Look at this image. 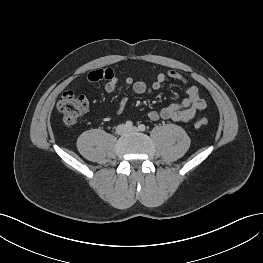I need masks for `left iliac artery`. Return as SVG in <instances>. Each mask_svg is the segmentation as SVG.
<instances>
[{
  "label": "left iliac artery",
  "instance_id": "left-iliac-artery-1",
  "mask_svg": "<svg viewBox=\"0 0 263 263\" xmlns=\"http://www.w3.org/2000/svg\"><path fill=\"white\" fill-rule=\"evenodd\" d=\"M138 129H139L140 131H145L146 127H145L144 124H140V125L138 126Z\"/></svg>",
  "mask_w": 263,
  "mask_h": 263
}]
</instances>
